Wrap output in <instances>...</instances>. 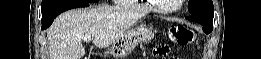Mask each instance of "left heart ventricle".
<instances>
[{"instance_id": "b2bd125f", "label": "left heart ventricle", "mask_w": 261, "mask_h": 59, "mask_svg": "<svg viewBox=\"0 0 261 59\" xmlns=\"http://www.w3.org/2000/svg\"><path fill=\"white\" fill-rule=\"evenodd\" d=\"M156 3L161 8L172 9L178 6L179 0H159Z\"/></svg>"}]
</instances>
